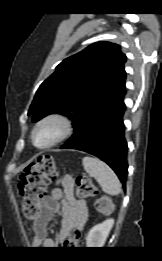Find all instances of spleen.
<instances>
[{
	"instance_id": "3e777b00",
	"label": "spleen",
	"mask_w": 162,
	"mask_h": 261,
	"mask_svg": "<svg viewBox=\"0 0 162 261\" xmlns=\"http://www.w3.org/2000/svg\"><path fill=\"white\" fill-rule=\"evenodd\" d=\"M86 172L94 177L102 190L110 195H118L121 191V184L114 171L98 158L86 156L82 159Z\"/></svg>"
}]
</instances>
